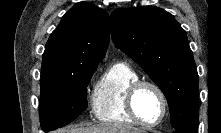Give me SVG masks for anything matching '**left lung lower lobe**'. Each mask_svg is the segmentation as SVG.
Instances as JSON below:
<instances>
[{"label": "left lung lower lobe", "instance_id": "obj_1", "mask_svg": "<svg viewBox=\"0 0 221 133\" xmlns=\"http://www.w3.org/2000/svg\"><path fill=\"white\" fill-rule=\"evenodd\" d=\"M197 126H191L187 128H183L180 130H176L174 133H198Z\"/></svg>", "mask_w": 221, "mask_h": 133}]
</instances>
